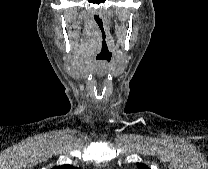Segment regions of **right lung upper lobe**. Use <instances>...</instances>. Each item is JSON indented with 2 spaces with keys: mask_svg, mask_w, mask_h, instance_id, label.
Returning a JSON list of instances; mask_svg holds the SVG:
<instances>
[{
  "mask_svg": "<svg viewBox=\"0 0 208 169\" xmlns=\"http://www.w3.org/2000/svg\"><path fill=\"white\" fill-rule=\"evenodd\" d=\"M52 169H80V168L73 167V166H71L69 164H65V165L53 167Z\"/></svg>",
  "mask_w": 208,
  "mask_h": 169,
  "instance_id": "obj_1",
  "label": "right lung upper lobe"
}]
</instances>
